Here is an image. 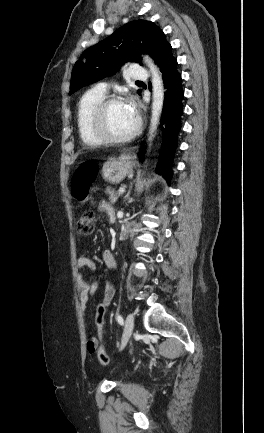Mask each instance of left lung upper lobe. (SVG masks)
Segmentation results:
<instances>
[{
	"label": "left lung upper lobe",
	"mask_w": 264,
	"mask_h": 433,
	"mask_svg": "<svg viewBox=\"0 0 264 433\" xmlns=\"http://www.w3.org/2000/svg\"><path fill=\"white\" fill-rule=\"evenodd\" d=\"M172 51L163 31L151 21L128 22L104 41L87 49L73 68L70 94L111 76L129 60L140 62L138 53H148L159 64ZM140 92V91H138Z\"/></svg>",
	"instance_id": "left-lung-upper-lobe-1"
}]
</instances>
